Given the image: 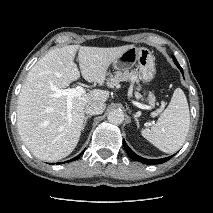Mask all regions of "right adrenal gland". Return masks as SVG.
<instances>
[{"mask_svg":"<svg viewBox=\"0 0 213 213\" xmlns=\"http://www.w3.org/2000/svg\"><path fill=\"white\" fill-rule=\"evenodd\" d=\"M90 117H91L90 115H88V116L85 117L82 130H84V128H85V126H86V123H87V120H88Z\"/></svg>","mask_w":213,"mask_h":213,"instance_id":"2a0ac1e0","label":"right adrenal gland"}]
</instances>
